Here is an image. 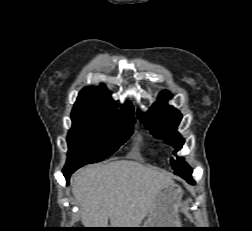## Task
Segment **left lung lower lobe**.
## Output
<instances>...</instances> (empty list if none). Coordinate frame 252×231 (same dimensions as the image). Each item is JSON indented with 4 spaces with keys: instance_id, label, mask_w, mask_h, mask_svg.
<instances>
[{
    "instance_id": "left-lung-lower-lobe-1",
    "label": "left lung lower lobe",
    "mask_w": 252,
    "mask_h": 231,
    "mask_svg": "<svg viewBox=\"0 0 252 231\" xmlns=\"http://www.w3.org/2000/svg\"><path fill=\"white\" fill-rule=\"evenodd\" d=\"M191 174H192V172L185 173L180 176L183 177L185 180H187L189 183H194V181L192 180Z\"/></svg>"
}]
</instances>
